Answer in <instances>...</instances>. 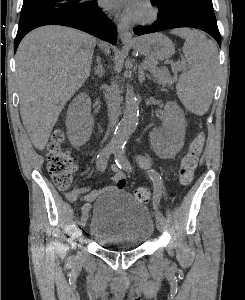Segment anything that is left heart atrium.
Returning <instances> with one entry per match:
<instances>
[{
	"label": "left heart atrium",
	"mask_w": 245,
	"mask_h": 300,
	"mask_svg": "<svg viewBox=\"0 0 245 300\" xmlns=\"http://www.w3.org/2000/svg\"><path fill=\"white\" fill-rule=\"evenodd\" d=\"M101 5L107 9L123 10L128 17H133L141 0H100Z\"/></svg>",
	"instance_id": "39dd6f15"
}]
</instances>
